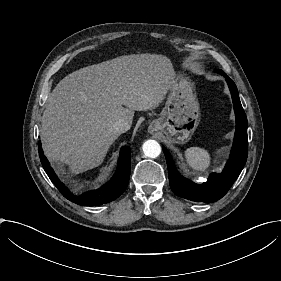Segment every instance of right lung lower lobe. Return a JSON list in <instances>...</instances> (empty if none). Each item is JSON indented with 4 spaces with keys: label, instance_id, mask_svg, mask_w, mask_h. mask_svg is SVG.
<instances>
[{
    "label": "right lung lower lobe",
    "instance_id": "right-lung-lower-lobe-1",
    "mask_svg": "<svg viewBox=\"0 0 281 281\" xmlns=\"http://www.w3.org/2000/svg\"><path fill=\"white\" fill-rule=\"evenodd\" d=\"M38 151L42 166L49 176L50 180L61 192V194L73 203L83 206L102 205L118 198L125 191L128 185L131 165V150L127 146L121 148L120 150L117 170L112 179L101 188L86 192L80 196L73 195L68 190V188L64 186V184L57 178L47 158L43 154L40 141L38 142Z\"/></svg>",
    "mask_w": 281,
    "mask_h": 281
}]
</instances>
